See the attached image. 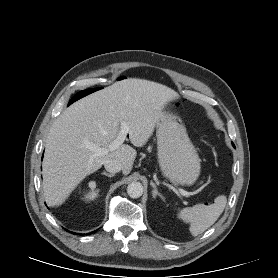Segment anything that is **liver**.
Wrapping results in <instances>:
<instances>
[{
	"mask_svg": "<svg viewBox=\"0 0 278 278\" xmlns=\"http://www.w3.org/2000/svg\"><path fill=\"white\" fill-rule=\"evenodd\" d=\"M177 93L159 83L129 78L92 93L69 106L50 128L42 163L43 190L49 206L61 205L88 175L108 160L130 173L136 150L120 145L106 155L95 156L88 147L108 148L121 130L129 127V140L142 147L154 132L160 114Z\"/></svg>",
	"mask_w": 278,
	"mask_h": 278,
	"instance_id": "liver-1",
	"label": "liver"
}]
</instances>
